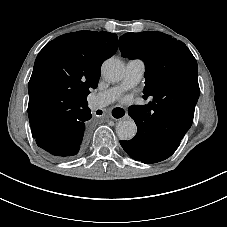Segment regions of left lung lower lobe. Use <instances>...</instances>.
Listing matches in <instances>:
<instances>
[{"label":"left lung lower lobe","mask_w":227,"mask_h":227,"mask_svg":"<svg viewBox=\"0 0 227 227\" xmlns=\"http://www.w3.org/2000/svg\"><path fill=\"white\" fill-rule=\"evenodd\" d=\"M198 97L189 90L177 99H153L147 105L131 106L128 114L135 120L137 134L120 141L125 152L147 164L170 157L192 124Z\"/></svg>","instance_id":"obj_1"}]
</instances>
